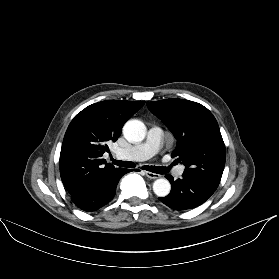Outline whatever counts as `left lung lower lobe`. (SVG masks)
I'll list each match as a JSON object with an SVG mask.
<instances>
[{
    "label": "left lung lower lobe",
    "instance_id": "1",
    "mask_svg": "<svg viewBox=\"0 0 279 279\" xmlns=\"http://www.w3.org/2000/svg\"><path fill=\"white\" fill-rule=\"evenodd\" d=\"M165 177L170 181L172 190L168 196L159 199L174 210L198 207L215 192L203 182L186 175H182V178L177 180L169 174Z\"/></svg>",
    "mask_w": 279,
    "mask_h": 279
}]
</instances>
